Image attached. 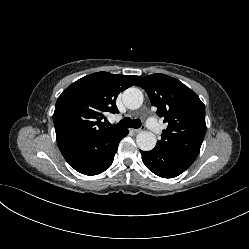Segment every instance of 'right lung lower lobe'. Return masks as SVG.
Returning <instances> with one entry per match:
<instances>
[{"mask_svg": "<svg viewBox=\"0 0 249 249\" xmlns=\"http://www.w3.org/2000/svg\"><path fill=\"white\" fill-rule=\"evenodd\" d=\"M128 133L127 129H121L96 139H64L57 144L65 160L76 171L96 175L111 166L119 142Z\"/></svg>", "mask_w": 249, "mask_h": 249, "instance_id": "1", "label": "right lung lower lobe"}]
</instances>
